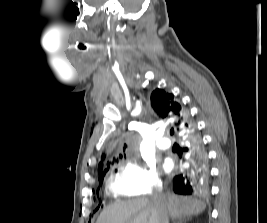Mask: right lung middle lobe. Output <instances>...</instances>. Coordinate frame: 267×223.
I'll list each match as a JSON object with an SVG mask.
<instances>
[{"label": "right lung middle lobe", "mask_w": 267, "mask_h": 223, "mask_svg": "<svg viewBox=\"0 0 267 223\" xmlns=\"http://www.w3.org/2000/svg\"><path fill=\"white\" fill-rule=\"evenodd\" d=\"M105 172H106V171H105ZM104 175H105V173H104ZM104 175H103V177H104ZM103 177L100 179L101 181H102Z\"/></svg>", "instance_id": "right-lung-middle-lobe-1"}]
</instances>
